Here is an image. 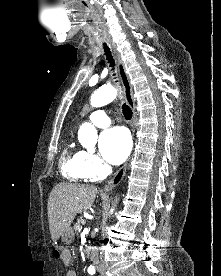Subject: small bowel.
I'll list each match as a JSON object with an SVG mask.
<instances>
[{
    "mask_svg": "<svg viewBox=\"0 0 221 276\" xmlns=\"http://www.w3.org/2000/svg\"><path fill=\"white\" fill-rule=\"evenodd\" d=\"M62 262L66 265V266H69L70 264V261H71V253L69 250H65L63 251V254H62ZM66 276H77L76 275V272L72 269H69L66 273Z\"/></svg>",
    "mask_w": 221,
    "mask_h": 276,
    "instance_id": "c3829d8e",
    "label": "small bowel"
}]
</instances>
